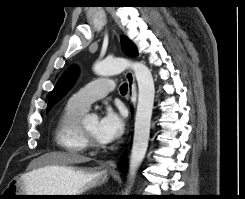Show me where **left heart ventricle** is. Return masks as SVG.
<instances>
[{
    "mask_svg": "<svg viewBox=\"0 0 245 199\" xmlns=\"http://www.w3.org/2000/svg\"><path fill=\"white\" fill-rule=\"evenodd\" d=\"M97 125H98V120L97 118H90L87 119L83 122V126L86 130V132L96 141L99 142V139L97 138Z\"/></svg>",
    "mask_w": 245,
    "mask_h": 199,
    "instance_id": "b2bd125f",
    "label": "left heart ventricle"
}]
</instances>
